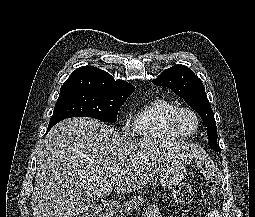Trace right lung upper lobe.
Wrapping results in <instances>:
<instances>
[{
  "label": "right lung upper lobe",
  "instance_id": "cb5924a9",
  "mask_svg": "<svg viewBox=\"0 0 255 217\" xmlns=\"http://www.w3.org/2000/svg\"><path fill=\"white\" fill-rule=\"evenodd\" d=\"M83 89L104 93H132L134 86L123 80H114L107 72L93 66L76 69L61 86V90Z\"/></svg>",
  "mask_w": 255,
  "mask_h": 217
}]
</instances>
